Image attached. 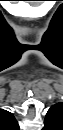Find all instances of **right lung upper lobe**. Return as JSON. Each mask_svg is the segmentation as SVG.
I'll return each mask as SVG.
<instances>
[{
	"instance_id": "right-lung-upper-lobe-1",
	"label": "right lung upper lobe",
	"mask_w": 63,
	"mask_h": 130,
	"mask_svg": "<svg viewBox=\"0 0 63 130\" xmlns=\"http://www.w3.org/2000/svg\"><path fill=\"white\" fill-rule=\"evenodd\" d=\"M0 126L3 130H18L19 126L12 115V113L6 110H0Z\"/></svg>"
}]
</instances>
